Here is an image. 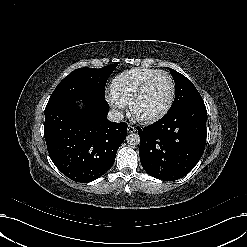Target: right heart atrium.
Here are the masks:
<instances>
[{
	"mask_svg": "<svg viewBox=\"0 0 247 247\" xmlns=\"http://www.w3.org/2000/svg\"><path fill=\"white\" fill-rule=\"evenodd\" d=\"M107 101L109 105L116 111V112H121L123 111L125 104L122 103L119 99L115 98L114 96L110 95L107 98Z\"/></svg>",
	"mask_w": 247,
	"mask_h": 247,
	"instance_id": "d8ad5b80",
	"label": "right heart atrium"
}]
</instances>
